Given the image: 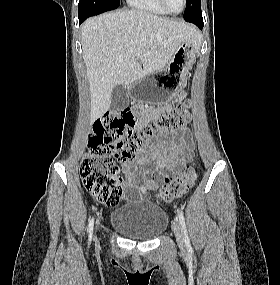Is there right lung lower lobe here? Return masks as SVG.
<instances>
[{
  "label": "right lung lower lobe",
  "mask_w": 280,
  "mask_h": 285,
  "mask_svg": "<svg viewBox=\"0 0 280 285\" xmlns=\"http://www.w3.org/2000/svg\"><path fill=\"white\" fill-rule=\"evenodd\" d=\"M85 19L84 18H79V22L82 23Z\"/></svg>",
  "instance_id": "1"
}]
</instances>
